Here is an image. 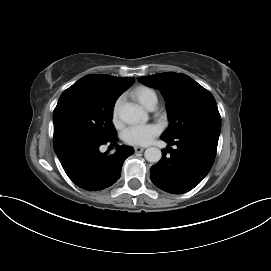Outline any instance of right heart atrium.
Instances as JSON below:
<instances>
[{
  "instance_id": "1",
  "label": "right heart atrium",
  "mask_w": 271,
  "mask_h": 271,
  "mask_svg": "<svg viewBox=\"0 0 271 271\" xmlns=\"http://www.w3.org/2000/svg\"><path fill=\"white\" fill-rule=\"evenodd\" d=\"M120 104H121V99L117 100L115 106H114V109H113V113H112V117H113V121L115 123H118L119 121V107H120Z\"/></svg>"
}]
</instances>
